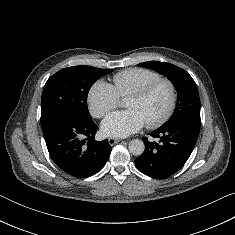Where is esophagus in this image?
I'll use <instances>...</instances> for the list:
<instances>
[{
    "label": "esophagus",
    "mask_w": 235,
    "mask_h": 235,
    "mask_svg": "<svg viewBox=\"0 0 235 235\" xmlns=\"http://www.w3.org/2000/svg\"><path fill=\"white\" fill-rule=\"evenodd\" d=\"M121 139H117V138H114V137H110L108 138V142L110 145H115L116 143L120 142Z\"/></svg>",
    "instance_id": "1"
}]
</instances>
